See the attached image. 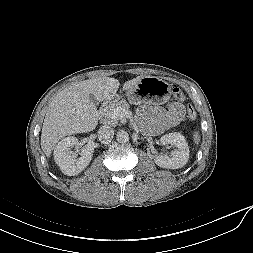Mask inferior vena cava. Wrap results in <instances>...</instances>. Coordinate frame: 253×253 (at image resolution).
I'll return each mask as SVG.
<instances>
[{"label": "inferior vena cava", "mask_w": 253, "mask_h": 253, "mask_svg": "<svg viewBox=\"0 0 253 253\" xmlns=\"http://www.w3.org/2000/svg\"><path fill=\"white\" fill-rule=\"evenodd\" d=\"M114 136V130L108 125H104L98 130V138L101 142L107 144L109 143Z\"/></svg>", "instance_id": "1"}]
</instances>
